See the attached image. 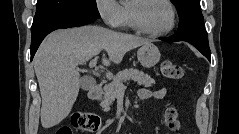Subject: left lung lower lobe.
<instances>
[{
    "label": "left lung lower lobe",
    "mask_w": 239,
    "mask_h": 134,
    "mask_svg": "<svg viewBox=\"0 0 239 134\" xmlns=\"http://www.w3.org/2000/svg\"><path fill=\"white\" fill-rule=\"evenodd\" d=\"M160 39L166 42L187 41L194 45L208 60H211L207 33L185 32L175 34L171 38Z\"/></svg>",
    "instance_id": "obj_1"
}]
</instances>
